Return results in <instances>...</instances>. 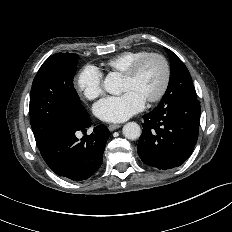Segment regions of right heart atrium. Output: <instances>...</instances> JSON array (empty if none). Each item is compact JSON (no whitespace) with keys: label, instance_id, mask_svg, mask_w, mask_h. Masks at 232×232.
<instances>
[{"label":"right heart atrium","instance_id":"1","mask_svg":"<svg viewBox=\"0 0 232 232\" xmlns=\"http://www.w3.org/2000/svg\"><path fill=\"white\" fill-rule=\"evenodd\" d=\"M76 87L86 99L97 98L102 92V74L92 65L83 67L77 75Z\"/></svg>","mask_w":232,"mask_h":232}]
</instances>
